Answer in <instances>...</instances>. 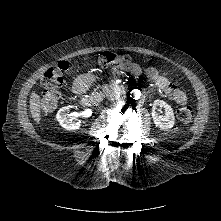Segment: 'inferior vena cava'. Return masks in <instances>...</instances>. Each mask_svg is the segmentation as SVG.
Listing matches in <instances>:
<instances>
[{"mask_svg": "<svg viewBox=\"0 0 221 221\" xmlns=\"http://www.w3.org/2000/svg\"><path fill=\"white\" fill-rule=\"evenodd\" d=\"M119 97H120V94L119 93H115V92L109 93L107 95V98L109 100H115V99H118Z\"/></svg>", "mask_w": 221, "mask_h": 221, "instance_id": "obj_1", "label": "inferior vena cava"}]
</instances>
